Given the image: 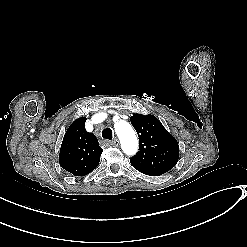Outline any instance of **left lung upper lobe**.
Returning <instances> with one entry per match:
<instances>
[{
  "label": "left lung upper lobe",
  "mask_w": 247,
  "mask_h": 247,
  "mask_svg": "<svg viewBox=\"0 0 247 247\" xmlns=\"http://www.w3.org/2000/svg\"><path fill=\"white\" fill-rule=\"evenodd\" d=\"M130 121L139 137V151L130 159L132 166L158 174L172 169L179 158L176 139L153 115L134 114Z\"/></svg>",
  "instance_id": "5c2ea615"
}]
</instances>
